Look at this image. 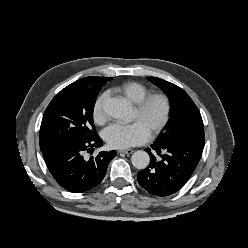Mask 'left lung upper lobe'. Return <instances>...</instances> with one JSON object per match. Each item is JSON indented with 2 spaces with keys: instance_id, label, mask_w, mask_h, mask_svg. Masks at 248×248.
<instances>
[{
  "instance_id": "left-lung-upper-lobe-1",
  "label": "left lung upper lobe",
  "mask_w": 248,
  "mask_h": 248,
  "mask_svg": "<svg viewBox=\"0 0 248 248\" xmlns=\"http://www.w3.org/2000/svg\"><path fill=\"white\" fill-rule=\"evenodd\" d=\"M147 79L167 94L171 105L169 123L157 141L166 142L179 138L205 141L201 114L189 95L180 87L163 79Z\"/></svg>"
}]
</instances>
